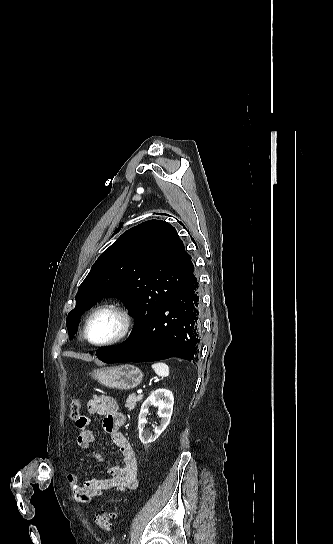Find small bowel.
Masks as SVG:
<instances>
[{
    "mask_svg": "<svg viewBox=\"0 0 333 544\" xmlns=\"http://www.w3.org/2000/svg\"><path fill=\"white\" fill-rule=\"evenodd\" d=\"M87 410L91 415L102 416L103 428L110 435L113 443L121 453V462L107 467L103 478H91L80 482L76 474L67 476L70 489L78 503H89L93 498L101 496L109 490H131L138 486V464L135 451L121 431L125 423V416L120 412L116 401L107 395L94 396L87 402ZM79 429L77 444L90 451L99 461H103L101 454L92 449L96 435L90 428V419L80 416L76 421Z\"/></svg>",
    "mask_w": 333,
    "mask_h": 544,
    "instance_id": "small-bowel-1",
    "label": "small bowel"
}]
</instances>
